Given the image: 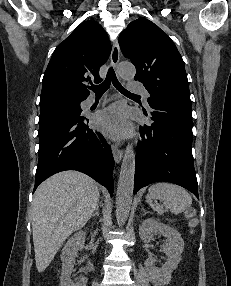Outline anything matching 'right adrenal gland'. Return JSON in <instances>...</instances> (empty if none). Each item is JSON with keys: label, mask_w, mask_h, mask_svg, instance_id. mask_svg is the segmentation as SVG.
<instances>
[{"label": "right adrenal gland", "mask_w": 231, "mask_h": 286, "mask_svg": "<svg viewBox=\"0 0 231 286\" xmlns=\"http://www.w3.org/2000/svg\"><path fill=\"white\" fill-rule=\"evenodd\" d=\"M96 215L99 216V205L98 204L96 205L95 213H93V217Z\"/></svg>", "instance_id": "obj_1"}]
</instances>
